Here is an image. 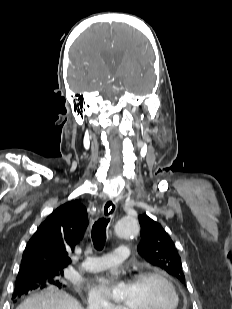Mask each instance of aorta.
I'll return each mask as SVG.
<instances>
[{
  "instance_id": "1",
  "label": "aorta",
  "mask_w": 232,
  "mask_h": 309,
  "mask_svg": "<svg viewBox=\"0 0 232 309\" xmlns=\"http://www.w3.org/2000/svg\"><path fill=\"white\" fill-rule=\"evenodd\" d=\"M116 233L121 238L134 237L139 232L138 222L134 218L123 217L115 225ZM123 287L121 283L113 290V298L119 300L123 296Z\"/></svg>"
}]
</instances>
